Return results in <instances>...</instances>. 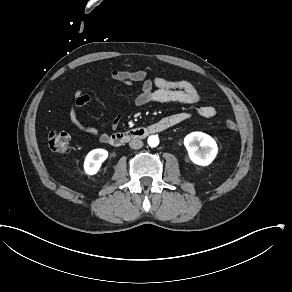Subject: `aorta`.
Masks as SVG:
<instances>
[{"instance_id":"obj_1","label":"aorta","mask_w":292,"mask_h":292,"mask_svg":"<svg viewBox=\"0 0 292 292\" xmlns=\"http://www.w3.org/2000/svg\"><path fill=\"white\" fill-rule=\"evenodd\" d=\"M148 144L152 147H155L159 144V138L156 135L148 137Z\"/></svg>"}]
</instances>
